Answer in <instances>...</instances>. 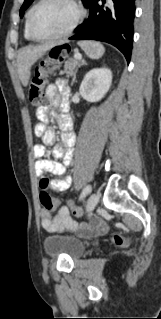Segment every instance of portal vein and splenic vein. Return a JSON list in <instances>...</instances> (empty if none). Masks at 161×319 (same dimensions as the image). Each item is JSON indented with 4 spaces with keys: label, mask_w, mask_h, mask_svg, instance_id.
<instances>
[{
    "label": "portal vein and splenic vein",
    "mask_w": 161,
    "mask_h": 319,
    "mask_svg": "<svg viewBox=\"0 0 161 319\" xmlns=\"http://www.w3.org/2000/svg\"><path fill=\"white\" fill-rule=\"evenodd\" d=\"M74 58L77 59V60H81L82 59V56L79 54V53H76L74 55Z\"/></svg>",
    "instance_id": "1"
}]
</instances>
